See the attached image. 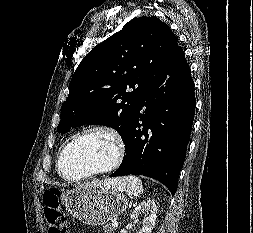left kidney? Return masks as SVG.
I'll list each match as a JSON object with an SVG mask.
<instances>
[{
  "label": "left kidney",
  "mask_w": 253,
  "mask_h": 233,
  "mask_svg": "<svg viewBox=\"0 0 253 233\" xmlns=\"http://www.w3.org/2000/svg\"><path fill=\"white\" fill-rule=\"evenodd\" d=\"M142 213L149 214V216L144 220L143 227L139 233H151L157 217V206L155 201L148 199L141 202L131 213V219L137 220Z\"/></svg>",
  "instance_id": "left-kidney-1"
}]
</instances>
